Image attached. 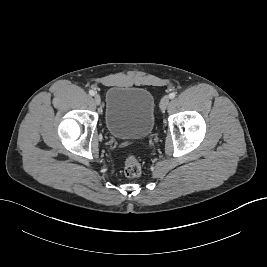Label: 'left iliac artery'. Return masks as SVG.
<instances>
[{"instance_id":"left-iliac-artery-1","label":"left iliac artery","mask_w":267,"mask_h":267,"mask_svg":"<svg viewBox=\"0 0 267 267\" xmlns=\"http://www.w3.org/2000/svg\"><path fill=\"white\" fill-rule=\"evenodd\" d=\"M175 96H176V93H174V92H172V93L169 94V98L170 99H173Z\"/></svg>"}]
</instances>
